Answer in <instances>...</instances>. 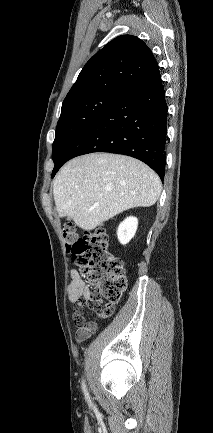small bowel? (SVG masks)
<instances>
[{
	"label": "small bowel",
	"instance_id": "c3829d8e",
	"mask_svg": "<svg viewBox=\"0 0 213 433\" xmlns=\"http://www.w3.org/2000/svg\"><path fill=\"white\" fill-rule=\"evenodd\" d=\"M67 295L69 301L74 304L77 309L81 306L82 302L91 299L90 289L76 269L70 270V283L67 287ZM96 328V323L92 321L86 328L78 329L76 332L77 341L82 342L87 340L96 331Z\"/></svg>",
	"mask_w": 213,
	"mask_h": 433
}]
</instances>
